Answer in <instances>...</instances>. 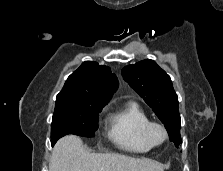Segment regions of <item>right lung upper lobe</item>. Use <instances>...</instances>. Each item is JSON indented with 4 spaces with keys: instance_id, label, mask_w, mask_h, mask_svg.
I'll return each instance as SVG.
<instances>
[{
    "instance_id": "right-lung-upper-lobe-1",
    "label": "right lung upper lobe",
    "mask_w": 223,
    "mask_h": 171,
    "mask_svg": "<svg viewBox=\"0 0 223 171\" xmlns=\"http://www.w3.org/2000/svg\"><path fill=\"white\" fill-rule=\"evenodd\" d=\"M117 88V77L108 66L85 61L68 77L56 103L106 105Z\"/></svg>"
}]
</instances>
